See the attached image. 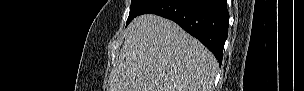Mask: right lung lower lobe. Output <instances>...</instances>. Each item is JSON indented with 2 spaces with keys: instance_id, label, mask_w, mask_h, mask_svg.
<instances>
[{
  "instance_id": "98d812e1",
  "label": "right lung lower lobe",
  "mask_w": 304,
  "mask_h": 91,
  "mask_svg": "<svg viewBox=\"0 0 304 91\" xmlns=\"http://www.w3.org/2000/svg\"><path fill=\"white\" fill-rule=\"evenodd\" d=\"M156 14L176 22L200 40L222 63L228 35L227 0H150L139 15Z\"/></svg>"
}]
</instances>
